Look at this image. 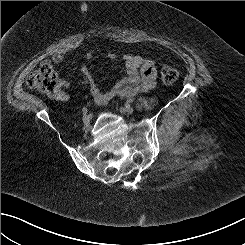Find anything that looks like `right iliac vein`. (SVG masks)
<instances>
[{
  "instance_id": "63e3f726",
  "label": "right iliac vein",
  "mask_w": 245,
  "mask_h": 245,
  "mask_svg": "<svg viewBox=\"0 0 245 245\" xmlns=\"http://www.w3.org/2000/svg\"><path fill=\"white\" fill-rule=\"evenodd\" d=\"M82 121H83V123H84L86 126H88L89 123H90V116H89V115H86V114L83 115Z\"/></svg>"
}]
</instances>
